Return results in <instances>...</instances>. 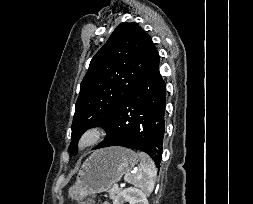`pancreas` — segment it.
Masks as SVG:
<instances>
[{"mask_svg": "<svg viewBox=\"0 0 253 204\" xmlns=\"http://www.w3.org/2000/svg\"><path fill=\"white\" fill-rule=\"evenodd\" d=\"M121 192V189L118 187V188H115L114 186H112L108 193H109V198L114 200L116 195L119 194Z\"/></svg>", "mask_w": 253, "mask_h": 204, "instance_id": "pancreas-1", "label": "pancreas"}]
</instances>
